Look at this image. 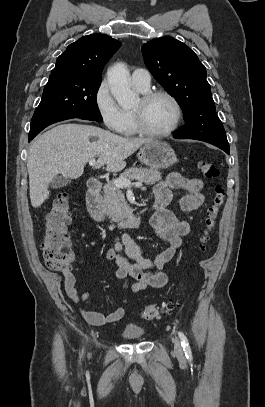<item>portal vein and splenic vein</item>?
I'll use <instances>...</instances> for the list:
<instances>
[{
	"instance_id": "1",
	"label": "portal vein and splenic vein",
	"mask_w": 265,
	"mask_h": 407,
	"mask_svg": "<svg viewBox=\"0 0 265 407\" xmlns=\"http://www.w3.org/2000/svg\"><path fill=\"white\" fill-rule=\"evenodd\" d=\"M95 164H96V160L94 158L89 160L90 166H94ZM114 185L118 188H129L130 186L142 187L143 183L141 181L132 183L128 179L119 178L114 181Z\"/></svg>"
}]
</instances>
